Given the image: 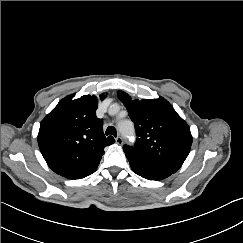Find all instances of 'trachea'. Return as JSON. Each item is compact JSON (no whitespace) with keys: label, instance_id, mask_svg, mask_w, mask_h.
Returning <instances> with one entry per match:
<instances>
[{"label":"trachea","instance_id":"trachea-1","mask_svg":"<svg viewBox=\"0 0 243 243\" xmlns=\"http://www.w3.org/2000/svg\"><path fill=\"white\" fill-rule=\"evenodd\" d=\"M106 135H113V136H117V131L116 129L113 127V126H109L107 129H106Z\"/></svg>","mask_w":243,"mask_h":243}]
</instances>
